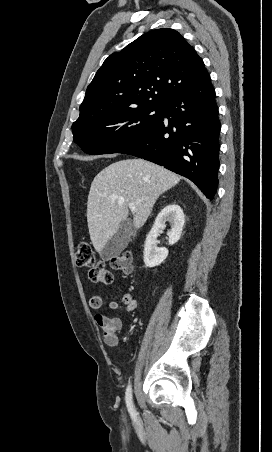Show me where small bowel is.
Listing matches in <instances>:
<instances>
[{
	"label": "small bowel",
	"instance_id": "c3829d8e",
	"mask_svg": "<svg viewBox=\"0 0 272 452\" xmlns=\"http://www.w3.org/2000/svg\"><path fill=\"white\" fill-rule=\"evenodd\" d=\"M104 305V297L96 294L90 298L89 306L94 310H99ZM111 310L133 312L137 306V300L131 293H123L120 301H110L107 304ZM95 324L103 330V339L106 344H115L118 339V333L121 330V320L117 317H108L103 314H96L94 316Z\"/></svg>",
	"mask_w": 272,
	"mask_h": 452
}]
</instances>
